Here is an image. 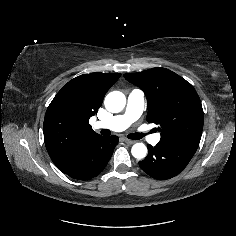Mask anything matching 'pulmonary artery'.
<instances>
[{
  "label": "pulmonary artery",
  "instance_id": "e3ab8cb5",
  "mask_svg": "<svg viewBox=\"0 0 236 236\" xmlns=\"http://www.w3.org/2000/svg\"><path fill=\"white\" fill-rule=\"evenodd\" d=\"M144 93L140 89L132 90L127 99V105L124 113L113 116L106 121L96 122V128H106L111 131H124L133 122H135L143 112L144 109ZM147 141L155 145L160 141V134H153L147 137Z\"/></svg>",
  "mask_w": 236,
  "mask_h": 236
}]
</instances>
